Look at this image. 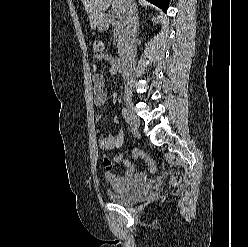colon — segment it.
<instances>
[{
  "label": "colon",
  "mask_w": 248,
  "mask_h": 247,
  "mask_svg": "<svg viewBox=\"0 0 248 247\" xmlns=\"http://www.w3.org/2000/svg\"><path fill=\"white\" fill-rule=\"evenodd\" d=\"M93 48H94L95 53H101L103 51V43L101 41H96L94 43ZM132 155L135 159L144 160L147 163L150 171L156 172L158 170L157 162L154 159L142 153L140 150H134ZM178 183H179V179H175L174 184L177 185Z\"/></svg>",
  "instance_id": "obj_1"
}]
</instances>
